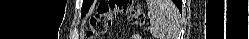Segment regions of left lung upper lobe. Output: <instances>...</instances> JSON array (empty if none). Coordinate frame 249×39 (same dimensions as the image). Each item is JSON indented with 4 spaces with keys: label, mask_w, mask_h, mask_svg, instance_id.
<instances>
[{
    "label": "left lung upper lobe",
    "mask_w": 249,
    "mask_h": 39,
    "mask_svg": "<svg viewBox=\"0 0 249 39\" xmlns=\"http://www.w3.org/2000/svg\"><path fill=\"white\" fill-rule=\"evenodd\" d=\"M92 3H93L92 0H84L83 6H82V9H81L82 15H85L87 13V11L89 10Z\"/></svg>",
    "instance_id": "5c2ea615"
}]
</instances>
